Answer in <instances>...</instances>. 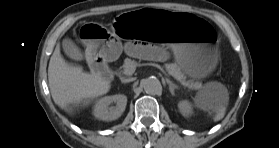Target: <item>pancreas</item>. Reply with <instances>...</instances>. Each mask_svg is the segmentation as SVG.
Instances as JSON below:
<instances>
[{"instance_id": "cf45deb5", "label": "pancreas", "mask_w": 279, "mask_h": 148, "mask_svg": "<svg viewBox=\"0 0 279 148\" xmlns=\"http://www.w3.org/2000/svg\"><path fill=\"white\" fill-rule=\"evenodd\" d=\"M134 65H138L135 61L131 59H125L124 64L122 66L123 68V73H125V70L131 69ZM166 71L173 76L176 80L180 81L181 83L185 82V75L182 73L180 67L176 63H167L164 65ZM130 75V74H126Z\"/></svg>"}]
</instances>
